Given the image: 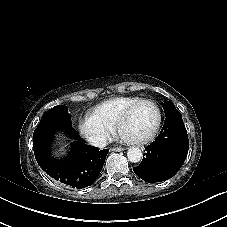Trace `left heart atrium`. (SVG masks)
<instances>
[{
  "label": "left heart atrium",
  "mask_w": 227,
  "mask_h": 227,
  "mask_svg": "<svg viewBox=\"0 0 227 227\" xmlns=\"http://www.w3.org/2000/svg\"><path fill=\"white\" fill-rule=\"evenodd\" d=\"M120 138H121L122 141H125V142H130V143H135L136 142L135 138L130 136V135H128V134H122L120 136Z\"/></svg>",
  "instance_id": "39dd6f15"
}]
</instances>
